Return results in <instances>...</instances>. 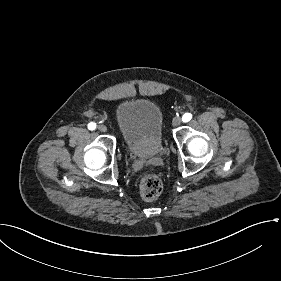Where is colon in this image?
Instances as JSON below:
<instances>
[{"label":"colon","instance_id":"colon-1","mask_svg":"<svg viewBox=\"0 0 281 281\" xmlns=\"http://www.w3.org/2000/svg\"><path fill=\"white\" fill-rule=\"evenodd\" d=\"M140 191L145 200L157 198L162 189L163 183L160 177L155 173H147L140 180Z\"/></svg>","mask_w":281,"mask_h":281}]
</instances>
